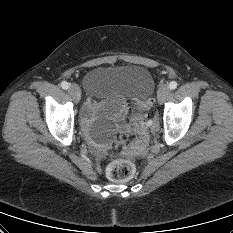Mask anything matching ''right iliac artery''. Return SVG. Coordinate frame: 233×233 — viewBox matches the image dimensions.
Returning <instances> with one entry per match:
<instances>
[{"instance_id": "82829eb1", "label": "right iliac artery", "mask_w": 233, "mask_h": 233, "mask_svg": "<svg viewBox=\"0 0 233 233\" xmlns=\"http://www.w3.org/2000/svg\"><path fill=\"white\" fill-rule=\"evenodd\" d=\"M61 87H62L63 89H65V90H67V89L69 88V83L66 82V81H62V82H61Z\"/></svg>"}]
</instances>
